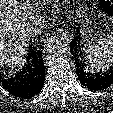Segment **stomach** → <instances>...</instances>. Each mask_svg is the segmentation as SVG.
I'll return each mask as SVG.
<instances>
[{
	"mask_svg": "<svg viewBox=\"0 0 113 113\" xmlns=\"http://www.w3.org/2000/svg\"><path fill=\"white\" fill-rule=\"evenodd\" d=\"M78 21L81 24V36L83 41L88 44L95 41L97 35L96 22L92 20L85 11H82V13L79 14Z\"/></svg>",
	"mask_w": 113,
	"mask_h": 113,
	"instance_id": "0dacf381",
	"label": "stomach"
}]
</instances>
